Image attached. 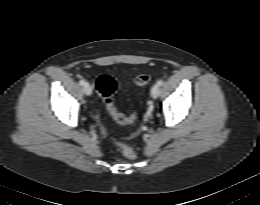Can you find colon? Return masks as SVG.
<instances>
[{
  "instance_id": "5ec220e1",
  "label": "colon",
  "mask_w": 260,
  "mask_h": 205,
  "mask_svg": "<svg viewBox=\"0 0 260 205\" xmlns=\"http://www.w3.org/2000/svg\"><path fill=\"white\" fill-rule=\"evenodd\" d=\"M149 81H150V76L145 73L137 75L134 79V83L137 86H144L148 84ZM116 88H117V84L114 78L106 74H102L98 76L96 80V89L98 93L101 95L107 110L109 111L113 119L118 124H122V125L130 124L135 121L136 113L133 112L129 115H124L118 111L113 99V95L116 91ZM119 145L122 149L123 154L127 158L129 159L136 158V153L131 147L123 144H119Z\"/></svg>"
}]
</instances>
